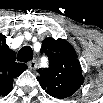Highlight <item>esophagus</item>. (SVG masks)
I'll return each instance as SVG.
<instances>
[{
    "mask_svg": "<svg viewBox=\"0 0 103 103\" xmlns=\"http://www.w3.org/2000/svg\"><path fill=\"white\" fill-rule=\"evenodd\" d=\"M36 67H37V62H36V60H32V61H30V62L28 63V68H29V70L34 71V70L36 69Z\"/></svg>",
    "mask_w": 103,
    "mask_h": 103,
    "instance_id": "1",
    "label": "esophagus"
}]
</instances>
